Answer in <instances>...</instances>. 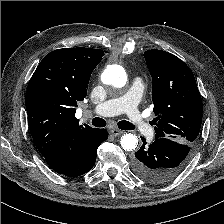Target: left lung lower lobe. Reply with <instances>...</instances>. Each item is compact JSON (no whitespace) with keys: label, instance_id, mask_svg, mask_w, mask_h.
Instances as JSON below:
<instances>
[{"label":"left lung lower lobe","instance_id":"obj_1","mask_svg":"<svg viewBox=\"0 0 224 224\" xmlns=\"http://www.w3.org/2000/svg\"><path fill=\"white\" fill-rule=\"evenodd\" d=\"M141 139L143 145L135 152L132 167L135 174L144 181L155 184L170 181L189 158L191 145L167 138L155 139L147 145L145 138Z\"/></svg>","mask_w":224,"mask_h":224}]
</instances>
